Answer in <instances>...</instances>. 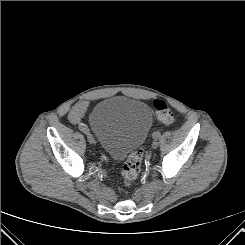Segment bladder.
Here are the masks:
<instances>
[{
    "mask_svg": "<svg viewBox=\"0 0 245 245\" xmlns=\"http://www.w3.org/2000/svg\"><path fill=\"white\" fill-rule=\"evenodd\" d=\"M88 123L103 150L119 159L145 142L152 125V111L141 101L112 97L91 110Z\"/></svg>",
    "mask_w": 245,
    "mask_h": 245,
    "instance_id": "bladder-1",
    "label": "bladder"
}]
</instances>
